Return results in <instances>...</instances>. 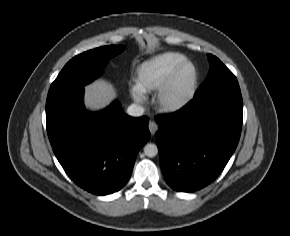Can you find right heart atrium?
I'll return each mask as SVG.
<instances>
[{
	"label": "right heart atrium",
	"instance_id": "obj_1",
	"mask_svg": "<svg viewBox=\"0 0 290 236\" xmlns=\"http://www.w3.org/2000/svg\"><path fill=\"white\" fill-rule=\"evenodd\" d=\"M131 95H132V98L137 102H141L144 99V95L142 91L137 86H133L131 88Z\"/></svg>",
	"mask_w": 290,
	"mask_h": 236
}]
</instances>
